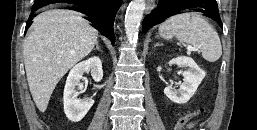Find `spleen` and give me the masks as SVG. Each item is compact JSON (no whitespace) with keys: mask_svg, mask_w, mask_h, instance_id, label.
Returning <instances> with one entry per match:
<instances>
[{"mask_svg":"<svg viewBox=\"0 0 257 130\" xmlns=\"http://www.w3.org/2000/svg\"><path fill=\"white\" fill-rule=\"evenodd\" d=\"M159 34L165 39L176 37L202 53L208 62H216L222 55V46L216 30L198 13L176 14L159 26Z\"/></svg>","mask_w":257,"mask_h":130,"instance_id":"1","label":"spleen"}]
</instances>
